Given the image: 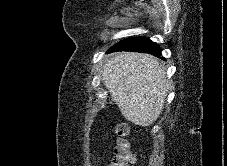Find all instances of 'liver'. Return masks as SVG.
Wrapping results in <instances>:
<instances>
[{
  "label": "liver",
  "mask_w": 227,
  "mask_h": 166,
  "mask_svg": "<svg viewBox=\"0 0 227 166\" xmlns=\"http://www.w3.org/2000/svg\"><path fill=\"white\" fill-rule=\"evenodd\" d=\"M101 78L128 121L149 126L162 113L170 82L155 57L118 53L107 61Z\"/></svg>",
  "instance_id": "obj_1"
}]
</instances>
